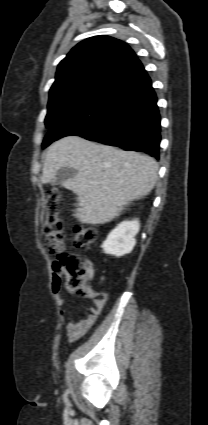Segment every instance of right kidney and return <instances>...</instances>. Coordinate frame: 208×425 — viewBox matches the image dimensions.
<instances>
[{"mask_svg":"<svg viewBox=\"0 0 208 425\" xmlns=\"http://www.w3.org/2000/svg\"><path fill=\"white\" fill-rule=\"evenodd\" d=\"M139 229L140 223L138 219L121 222L103 242L102 248L104 252L116 257L129 254L136 244L135 236Z\"/></svg>","mask_w":208,"mask_h":425,"instance_id":"ca27d5eb","label":"right kidney"}]
</instances>
